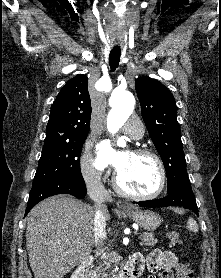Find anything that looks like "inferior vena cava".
I'll list each match as a JSON object with an SVG mask.
<instances>
[{"label":"inferior vena cava","mask_w":221,"mask_h":278,"mask_svg":"<svg viewBox=\"0 0 221 278\" xmlns=\"http://www.w3.org/2000/svg\"><path fill=\"white\" fill-rule=\"evenodd\" d=\"M86 187L89 197L95 202L96 212L94 219L95 244H101L106 238V219L104 216V202L112 201L111 195L101 182V175L92 170L86 177Z\"/></svg>","instance_id":"obj_1"}]
</instances>
